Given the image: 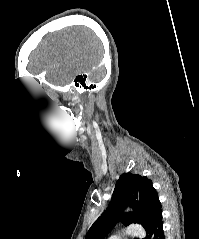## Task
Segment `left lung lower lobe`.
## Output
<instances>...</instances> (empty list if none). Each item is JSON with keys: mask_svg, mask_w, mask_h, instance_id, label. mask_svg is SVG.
Listing matches in <instances>:
<instances>
[{"mask_svg": "<svg viewBox=\"0 0 199 239\" xmlns=\"http://www.w3.org/2000/svg\"><path fill=\"white\" fill-rule=\"evenodd\" d=\"M147 236L144 239H165L163 233L162 210H160L145 228Z\"/></svg>", "mask_w": 199, "mask_h": 239, "instance_id": "1", "label": "left lung lower lobe"}]
</instances>
